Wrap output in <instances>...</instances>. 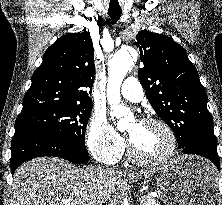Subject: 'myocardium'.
Wrapping results in <instances>:
<instances>
[{"label": "myocardium", "instance_id": "myocardium-1", "mask_svg": "<svg viewBox=\"0 0 222 205\" xmlns=\"http://www.w3.org/2000/svg\"><path fill=\"white\" fill-rule=\"evenodd\" d=\"M143 123H149V124H155L160 126L165 133L167 134L168 138H169V146L167 148V150L165 151V153H163L162 155L155 157V158H144L142 156H140L131 141H129L128 143V156L129 158L140 165H144V166H156V165H161L164 164L166 162H168L176 153V149H177V138L176 135L173 131V129L171 128V126L165 122L164 120L160 119V118H156V117H146L142 120Z\"/></svg>", "mask_w": 222, "mask_h": 205}]
</instances>
